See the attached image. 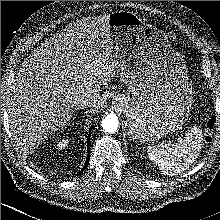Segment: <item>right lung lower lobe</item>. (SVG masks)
<instances>
[{
  "mask_svg": "<svg viewBox=\"0 0 220 220\" xmlns=\"http://www.w3.org/2000/svg\"><path fill=\"white\" fill-rule=\"evenodd\" d=\"M91 132V128H90V131L89 133ZM89 141H90V134L88 136V139H87V151H88V155H87V159H86V162H85V165L83 167V169L81 170V172L79 174H81L83 172V170H85V168L87 167L88 163H89Z\"/></svg>",
  "mask_w": 220,
  "mask_h": 220,
  "instance_id": "1",
  "label": "right lung lower lobe"
}]
</instances>
